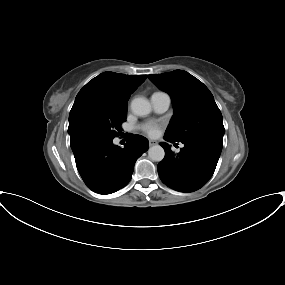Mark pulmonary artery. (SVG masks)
<instances>
[{
    "instance_id": "1",
    "label": "pulmonary artery",
    "mask_w": 285,
    "mask_h": 285,
    "mask_svg": "<svg viewBox=\"0 0 285 285\" xmlns=\"http://www.w3.org/2000/svg\"><path fill=\"white\" fill-rule=\"evenodd\" d=\"M151 104L155 112L163 113L168 110L171 104V98L165 92H156L151 96Z\"/></svg>"
}]
</instances>
